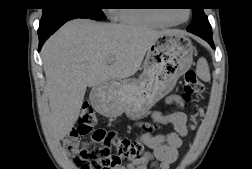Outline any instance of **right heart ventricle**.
Here are the masks:
<instances>
[{
  "label": "right heart ventricle",
  "mask_w": 252,
  "mask_h": 169,
  "mask_svg": "<svg viewBox=\"0 0 252 169\" xmlns=\"http://www.w3.org/2000/svg\"><path fill=\"white\" fill-rule=\"evenodd\" d=\"M117 21L126 25L165 27L167 24L155 19L142 9L119 8L114 10Z\"/></svg>",
  "instance_id": "right-heart-ventricle-1"
}]
</instances>
